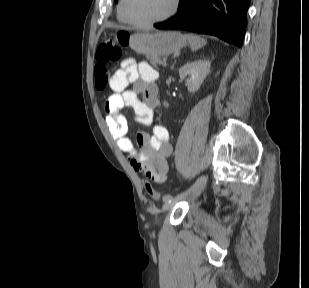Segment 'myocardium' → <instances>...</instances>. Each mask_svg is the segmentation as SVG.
Here are the masks:
<instances>
[{
    "label": "myocardium",
    "mask_w": 309,
    "mask_h": 288,
    "mask_svg": "<svg viewBox=\"0 0 309 288\" xmlns=\"http://www.w3.org/2000/svg\"><path fill=\"white\" fill-rule=\"evenodd\" d=\"M180 2L181 0H172V7L166 14L156 19H153V20L140 22V21L133 20L128 15L127 9H126L127 0H121V14L125 22L128 23L129 25L136 27V28H147V27L155 26L157 24H160L172 18L178 12L179 7H180Z\"/></svg>",
    "instance_id": "1"
}]
</instances>
